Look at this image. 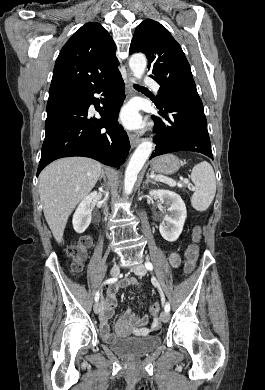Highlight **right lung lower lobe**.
Listing matches in <instances>:
<instances>
[{
  "label": "right lung lower lobe",
  "mask_w": 265,
  "mask_h": 390,
  "mask_svg": "<svg viewBox=\"0 0 265 390\" xmlns=\"http://www.w3.org/2000/svg\"><path fill=\"white\" fill-rule=\"evenodd\" d=\"M95 93L105 96L103 107ZM124 93V82L117 72L83 92L49 99L37 176L52 161L69 156L90 157L119 168L130 149L129 138L117 122ZM91 104L101 119L90 118Z\"/></svg>",
  "instance_id": "1"
}]
</instances>
